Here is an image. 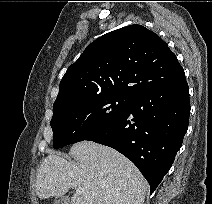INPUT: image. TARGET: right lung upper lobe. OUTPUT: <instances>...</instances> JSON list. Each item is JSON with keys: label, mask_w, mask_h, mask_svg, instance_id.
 <instances>
[{"label": "right lung upper lobe", "mask_w": 212, "mask_h": 204, "mask_svg": "<svg viewBox=\"0 0 212 204\" xmlns=\"http://www.w3.org/2000/svg\"><path fill=\"white\" fill-rule=\"evenodd\" d=\"M183 74L175 54L157 34L141 25L126 26L96 39L69 66L53 109L107 95L130 97Z\"/></svg>", "instance_id": "obj_1"}]
</instances>
